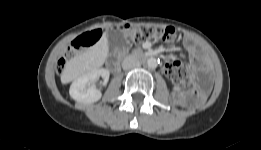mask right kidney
I'll return each mask as SVG.
<instances>
[{
  "mask_svg": "<svg viewBox=\"0 0 261 150\" xmlns=\"http://www.w3.org/2000/svg\"><path fill=\"white\" fill-rule=\"evenodd\" d=\"M110 72L107 69H95L82 74L70 86L69 94L77 102L89 104L97 102L102 93L96 88L95 82L100 78L103 79L101 82L106 85L109 80Z\"/></svg>",
  "mask_w": 261,
  "mask_h": 150,
  "instance_id": "right-kidney-1",
  "label": "right kidney"
}]
</instances>
